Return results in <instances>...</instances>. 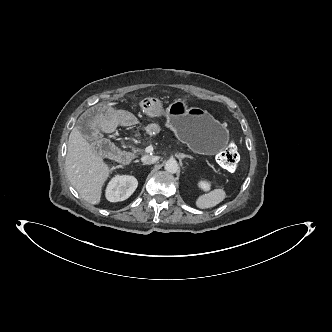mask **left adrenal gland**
I'll use <instances>...</instances> for the list:
<instances>
[{
	"instance_id": "left-adrenal-gland-1",
	"label": "left adrenal gland",
	"mask_w": 332,
	"mask_h": 332,
	"mask_svg": "<svg viewBox=\"0 0 332 332\" xmlns=\"http://www.w3.org/2000/svg\"><path fill=\"white\" fill-rule=\"evenodd\" d=\"M179 158H180L181 160H183V159H185V158H190V159H192L193 157H192V156H189V155H185V154H183V153H179Z\"/></svg>"
}]
</instances>
